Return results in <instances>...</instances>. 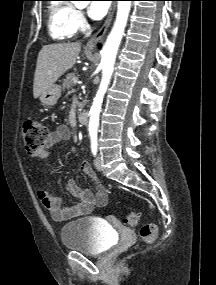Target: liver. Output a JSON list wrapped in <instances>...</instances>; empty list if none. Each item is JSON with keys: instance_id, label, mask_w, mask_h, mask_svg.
Masks as SVG:
<instances>
[{"instance_id": "obj_1", "label": "liver", "mask_w": 216, "mask_h": 285, "mask_svg": "<svg viewBox=\"0 0 216 285\" xmlns=\"http://www.w3.org/2000/svg\"><path fill=\"white\" fill-rule=\"evenodd\" d=\"M80 50L79 42L57 43L42 47L38 54L34 75V98H38L74 66Z\"/></svg>"}]
</instances>
